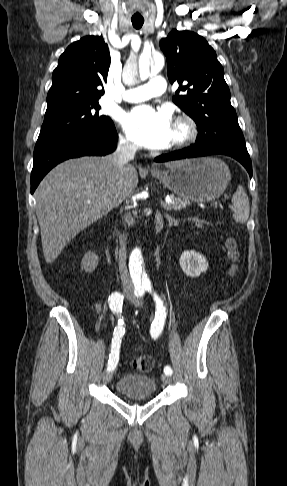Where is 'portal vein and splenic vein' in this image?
I'll use <instances>...</instances> for the list:
<instances>
[{
  "mask_svg": "<svg viewBox=\"0 0 287 486\" xmlns=\"http://www.w3.org/2000/svg\"><path fill=\"white\" fill-rule=\"evenodd\" d=\"M160 204L163 208H167L169 205L172 204V200L171 199H165L164 201L163 200H160Z\"/></svg>",
  "mask_w": 287,
  "mask_h": 486,
  "instance_id": "obj_1",
  "label": "portal vein and splenic vein"
}]
</instances>
